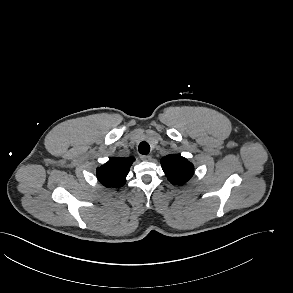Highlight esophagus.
I'll return each mask as SVG.
<instances>
[{
  "label": "esophagus",
  "instance_id": "1",
  "mask_svg": "<svg viewBox=\"0 0 293 293\" xmlns=\"http://www.w3.org/2000/svg\"><path fill=\"white\" fill-rule=\"evenodd\" d=\"M140 158L143 161H150L152 159L151 155H141Z\"/></svg>",
  "mask_w": 293,
  "mask_h": 293
}]
</instances>
